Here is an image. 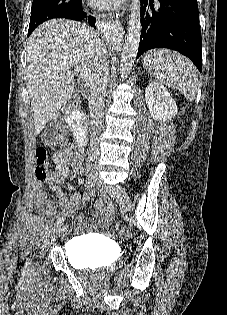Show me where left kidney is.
<instances>
[{
    "instance_id": "left-kidney-1",
    "label": "left kidney",
    "mask_w": 227,
    "mask_h": 315,
    "mask_svg": "<svg viewBox=\"0 0 227 315\" xmlns=\"http://www.w3.org/2000/svg\"><path fill=\"white\" fill-rule=\"evenodd\" d=\"M145 100L155 120L171 119L177 114V105L167 89L158 82H150L145 91Z\"/></svg>"
}]
</instances>
